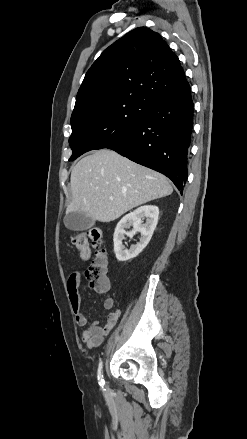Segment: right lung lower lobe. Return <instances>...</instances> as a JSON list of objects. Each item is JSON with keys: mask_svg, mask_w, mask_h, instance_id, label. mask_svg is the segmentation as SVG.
<instances>
[{"mask_svg": "<svg viewBox=\"0 0 247 439\" xmlns=\"http://www.w3.org/2000/svg\"><path fill=\"white\" fill-rule=\"evenodd\" d=\"M193 106L190 89L161 98L148 106L134 129L107 148L163 173L181 190L187 178Z\"/></svg>", "mask_w": 247, "mask_h": 439, "instance_id": "98d812e1", "label": "right lung lower lobe"}]
</instances>
